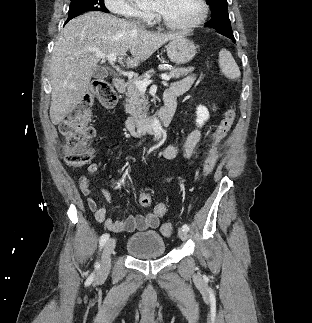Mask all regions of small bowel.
Instances as JSON below:
<instances>
[{
	"label": "small bowel",
	"instance_id": "1",
	"mask_svg": "<svg viewBox=\"0 0 312 323\" xmlns=\"http://www.w3.org/2000/svg\"><path fill=\"white\" fill-rule=\"evenodd\" d=\"M195 76L189 75L183 79L173 83L167 92H173L176 96L182 95L187 92L195 82ZM201 143V133L199 130L192 131L186 138L182 150H179L175 145H166L162 150V156L165 160H174L181 157L183 161L191 166L195 162V153ZM152 166V164H150ZM99 170L98 163H90L87 166L89 175H94ZM79 189L83 196L87 197V204L89 209L94 213L96 221L103 223L104 226L114 232H135L145 231L148 229H155L159 226L160 219L163 216H155L154 211L147 213L146 215L135 214L129 215L125 220L117 222L107 217V211L104 205H98L97 201L91 197L90 178L83 176L79 180ZM104 197L107 201L111 199V193L109 188L103 190ZM165 210V214H166Z\"/></svg>",
	"mask_w": 312,
	"mask_h": 323
}]
</instances>
